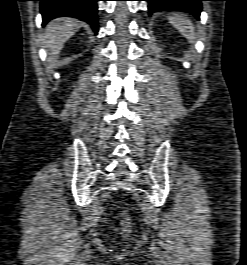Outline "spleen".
<instances>
[{"mask_svg": "<svg viewBox=\"0 0 247 265\" xmlns=\"http://www.w3.org/2000/svg\"><path fill=\"white\" fill-rule=\"evenodd\" d=\"M169 22L192 43L195 39V29L192 22L181 13H174L168 17Z\"/></svg>", "mask_w": 247, "mask_h": 265, "instance_id": "spleen-1", "label": "spleen"}]
</instances>
